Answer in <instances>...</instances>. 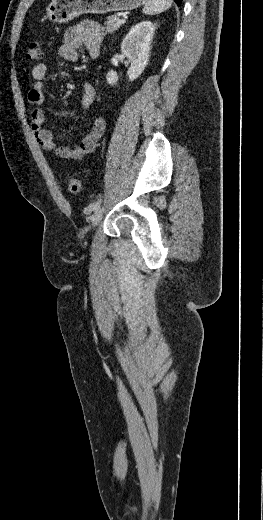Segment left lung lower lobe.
<instances>
[{"label": "left lung lower lobe", "mask_w": 263, "mask_h": 520, "mask_svg": "<svg viewBox=\"0 0 263 520\" xmlns=\"http://www.w3.org/2000/svg\"><path fill=\"white\" fill-rule=\"evenodd\" d=\"M174 1L176 2V4H177L178 6H180L181 3H182V0H174Z\"/></svg>", "instance_id": "left-lung-lower-lobe-1"}]
</instances>
